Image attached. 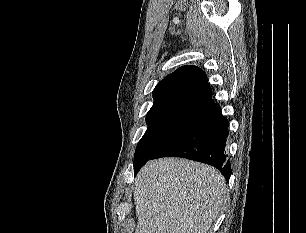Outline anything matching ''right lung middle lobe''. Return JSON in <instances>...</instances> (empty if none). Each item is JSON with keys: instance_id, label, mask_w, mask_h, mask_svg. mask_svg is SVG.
Wrapping results in <instances>:
<instances>
[{"instance_id": "obj_1", "label": "right lung middle lobe", "mask_w": 306, "mask_h": 233, "mask_svg": "<svg viewBox=\"0 0 306 233\" xmlns=\"http://www.w3.org/2000/svg\"><path fill=\"white\" fill-rule=\"evenodd\" d=\"M203 110L201 106L180 101L153 104L146 116L148 128L136 147L134 170L144 165Z\"/></svg>"}]
</instances>
